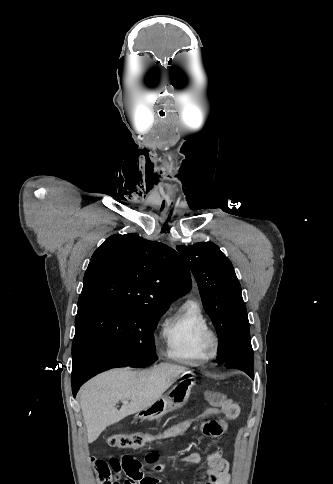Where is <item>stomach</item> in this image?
I'll return each mask as SVG.
<instances>
[{
    "instance_id": "stomach-1",
    "label": "stomach",
    "mask_w": 333,
    "mask_h": 484,
    "mask_svg": "<svg viewBox=\"0 0 333 484\" xmlns=\"http://www.w3.org/2000/svg\"><path fill=\"white\" fill-rule=\"evenodd\" d=\"M194 381L184 379L176 384L166 395L158 399L151 407L144 410L149 417L162 415L175 408L182 407L188 400Z\"/></svg>"
}]
</instances>
